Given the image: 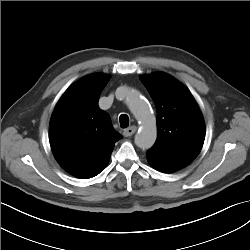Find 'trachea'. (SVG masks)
I'll return each mask as SVG.
<instances>
[{
	"label": "trachea",
	"instance_id": "3493384b",
	"mask_svg": "<svg viewBox=\"0 0 250 250\" xmlns=\"http://www.w3.org/2000/svg\"><path fill=\"white\" fill-rule=\"evenodd\" d=\"M120 126L126 128L129 126V117L126 114H121L119 117Z\"/></svg>",
	"mask_w": 250,
	"mask_h": 250
}]
</instances>
